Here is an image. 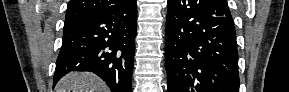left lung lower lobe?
Segmentation results:
<instances>
[{
    "mask_svg": "<svg viewBox=\"0 0 289 92\" xmlns=\"http://www.w3.org/2000/svg\"><path fill=\"white\" fill-rule=\"evenodd\" d=\"M167 92H239L234 22L226 0H168Z\"/></svg>",
    "mask_w": 289,
    "mask_h": 92,
    "instance_id": "obj_1",
    "label": "left lung lower lobe"
}]
</instances>
